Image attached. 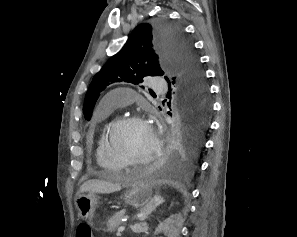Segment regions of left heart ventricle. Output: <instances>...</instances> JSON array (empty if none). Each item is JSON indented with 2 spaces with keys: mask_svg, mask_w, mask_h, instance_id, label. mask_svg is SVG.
<instances>
[{
  "mask_svg": "<svg viewBox=\"0 0 297 237\" xmlns=\"http://www.w3.org/2000/svg\"><path fill=\"white\" fill-rule=\"evenodd\" d=\"M116 141L121 151L133 160L148 157L155 145L153 131L144 123H131L122 127Z\"/></svg>",
  "mask_w": 297,
  "mask_h": 237,
  "instance_id": "left-heart-ventricle-1",
  "label": "left heart ventricle"
}]
</instances>
